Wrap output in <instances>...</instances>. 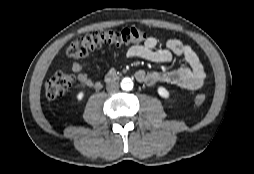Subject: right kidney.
I'll return each instance as SVG.
<instances>
[{"label": "right kidney", "mask_w": 254, "mask_h": 174, "mask_svg": "<svg viewBox=\"0 0 254 174\" xmlns=\"http://www.w3.org/2000/svg\"><path fill=\"white\" fill-rule=\"evenodd\" d=\"M84 97V93L83 92H79L78 95H77V99L78 101H81Z\"/></svg>", "instance_id": "ca27d5eb"}]
</instances>
